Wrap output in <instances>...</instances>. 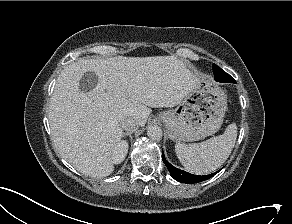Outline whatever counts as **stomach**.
<instances>
[{
  "mask_svg": "<svg viewBox=\"0 0 292 224\" xmlns=\"http://www.w3.org/2000/svg\"><path fill=\"white\" fill-rule=\"evenodd\" d=\"M227 109V96L212 79L200 77L195 87L172 110L159 114L169 138L192 142L216 133Z\"/></svg>",
  "mask_w": 292,
  "mask_h": 224,
  "instance_id": "1",
  "label": "stomach"
}]
</instances>
